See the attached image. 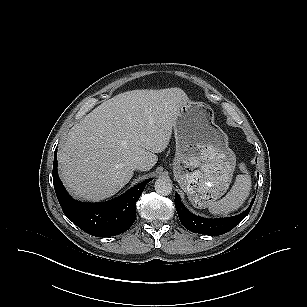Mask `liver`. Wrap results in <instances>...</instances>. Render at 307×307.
<instances>
[{
	"label": "liver",
	"mask_w": 307,
	"mask_h": 307,
	"mask_svg": "<svg viewBox=\"0 0 307 307\" xmlns=\"http://www.w3.org/2000/svg\"><path fill=\"white\" fill-rule=\"evenodd\" d=\"M180 88L132 90L104 101L68 132L58 150L63 184L77 198L100 201L133 177L130 164L150 170L170 141L182 101Z\"/></svg>",
	"instance_id": "obj_1"
}]
</instances>
